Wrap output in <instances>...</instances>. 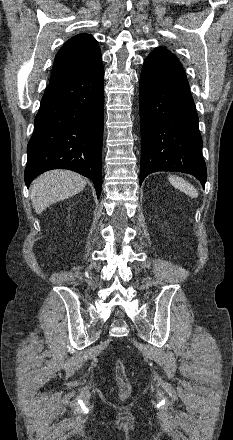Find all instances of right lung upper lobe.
Instances as JSON below:
<instances>
[{"label": "right lung upper lobe", "mask_w": 233, "mask_h": 440, "mask_svg": "<svg viewBox=\"0 0 233 440\" xmlns=\"http://www.w3.org/2000/svg\"><path fill=\"white\" fill-rule=\"evenodd\" d=\"M102 65L97 41L89 34L69 39L55 57L50 84L71 81L89 75Z\"/></svg>", "instance_id": "obj_1"}]
</instances>
